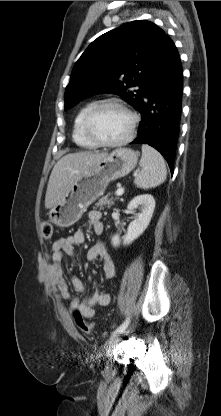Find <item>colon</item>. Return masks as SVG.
<instances>
[{
	"mask_svg": "<svg viewBox=\"0 0 221 416\" xmlns=\"http://www.w3.org/2000/svg\"><path fill=\"white\" fill-rule=\"evenodd\" d=\"M42 236L45 240H50L53 235V226L50 222H44L41 227ZM74 317L79 328L85 333H91L93 326L86 322L79 311H74Z\"/></svg>",
	"mask_w": 221,
	"mask_h": 416,
	"instance_id": "1",
	"label": "colon"
}]
</instances>
